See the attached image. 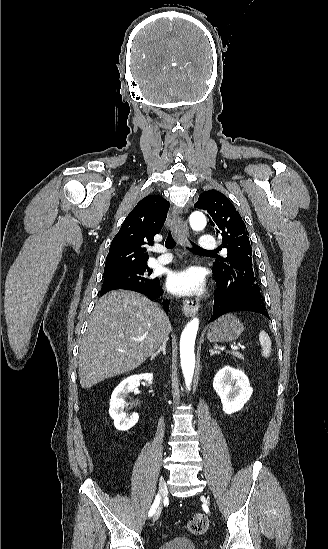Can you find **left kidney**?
<instances>
[{
	"mask_svg": "<svg viewBox=\"0 0 328 549\" xmlns=\"http://www.w3.org/2000/svg\"><path fill=\"white\" fill-rule=\"evenodd\" d=\"M213 389L220 397L222 409L226 415L241 411L253 393L245 373L239 369H233L229 365L216 373Z\"/></svg>",
	"mask_w": 328,
	"mask_h": 549,
	"instance_id": "left-kidney-1",
	"label": "left kidney"
}]
</instances>
